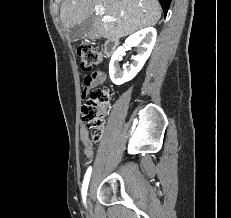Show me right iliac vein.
Listing matches in <instances>:
<instances>
[{
    "label": "right iliac vein",
    "instance_id": "obj_1",
    "mask_svg": "<svg viewBox=\"0 0 231 218\" xmlns=\"http://www.w3.org/2000/svg\"><path fill=\"white\" fill-rule=\"evenodd\" d=\"M87 205H88V207L90 206V198H89V194H88V197H87Z\"/></svg>",
    "mask_w": 231,
    "mask_h": 218
}]
</instances>
